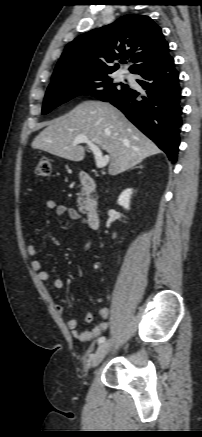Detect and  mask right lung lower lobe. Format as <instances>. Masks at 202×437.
Masks as SVG:
<instances>
[{
	"instance_id": "obj_1",
	"label": "right lung lower lobe",
	"mask_w": 202,
	"mask_h": 437,
	"mask_svg": "<svg viewBox=\"0 0 202 437\" xmlns=\"http://www.w3.org/2000/svg\"><path fill=\"white\" fill-rule=\"evenodd\" d=\"M137 82L145 90L127 89L106 102L125 116L176 162L182 122L181 87L174 59L168 56L159 64L137 72Z\"/></svg>"
}]
</instances>
